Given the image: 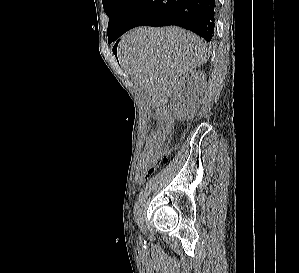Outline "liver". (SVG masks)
<instances>
[{"label":"liver","instance_id":"1","mask_svg":"<svg viewBox=\"0 0 299 273\" xmlns=\"http://www.w3.org/2000/svg\"><path fill=\"white\" fill-rule=\"evenodd\" d=\"M118 53L121 67L154 107L166 105L177 81L209 58L204 40L179 27L135 28L121 37Z\"/></svg>","mask_w":299,"mask_h":273}]
</instances>
